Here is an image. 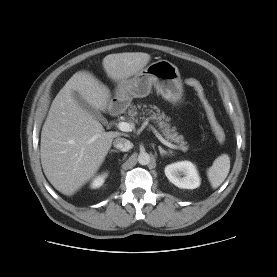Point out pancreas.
I'll return each instance as SVG.
<instances>
[{
	"label": "pancreas",
	"instance_id": "obj_1",
	"mask_svg": "<svg viewBox=\"0 0 277 277\" xmlns=\"http://www.w3.org/2000/svg\"><path fill=\"white\" fill-rule=\"evenodd\" d=\"M137 107L140 109L141 105H138ZM137 107L134 105L131 106L128 110V116L130 120L134 121L135 123H139L140 121L146 119L145 116H149L148 119L156 121L163 136L167 141L178 144L179 147L184 151L188 149L186 146V142L184 141V137L182 135H178L175 127L171 128V125L168 123L170 118L167 117L164 112H161L157 106L151 105V109H147L144 105L142 108V112L140 113H138ZM138 115L143 116L138 117Z\"/></svg>",
	"mask_w": 277,
	"mask_h": 277
}]
</instances>
